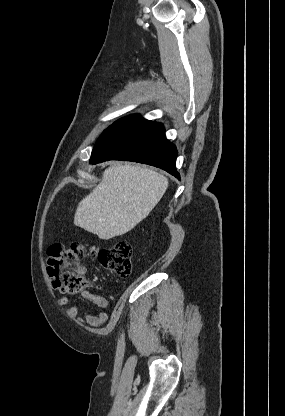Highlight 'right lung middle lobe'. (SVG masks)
<instances>
[{"instance_id": "right-lung-middle-lobe-1", "label": "right lung middle lobe", "mask_w": 285, "mask_h": 416, "mask_svg": "<svg viewBox=\"0 0 285 416\" xmlns=\"http://www.w3.org/2000/svg\"><path fill=\"white\" fill-rule=\"evenodd\" d=\"M144 120L137 114H133L122 119L115 121L111 126H109L103 134L98 139L96 145L100 144L101 142L105 141L106 139L110 138L111 136L117 134L118 132L128 128L140 121Z\"/></svg>"}]
</instances>
